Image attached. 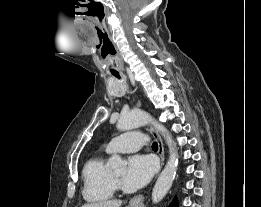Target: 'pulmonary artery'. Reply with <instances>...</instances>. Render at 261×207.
<instances>
[{
  "mask_svg": "<svg viewBox=\"0 0 261 207\" xmlns=\"http://www.w3.org/2000/svg\"><path fill=\"white\" fill-rule=\"evenodd\" d=\"M145 136L139 131L126 132L111 140L106 150L109 153H130L139 150L145 144Z\"/></svg>",
  "mask_w": 261,
  "mask_h": 207,
  "instance_id": "1",
  "label": "pulmonary artery"
}]
</instances>
